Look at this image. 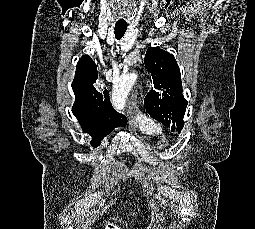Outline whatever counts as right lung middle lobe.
Returning a JSON list of instances; mask_svg holds the SVG:
<instances>
[{
    "mask_svg": "<svg viewBox=\"0 0 255 229\" xmlns=\"http://www.w3.org/2000/svg\"><path fill=\"white\" fill-rule=\"evenodd\" d=\"M100 144H101L100 141H96V142L91 141V146H93L94 148L98 147Z\"/></svg>",
    "mask_w": 255,
    "mask_h": 229,
    "instance_id": "1",
    "label": "right lung middle lobe"
}]
</instances>
